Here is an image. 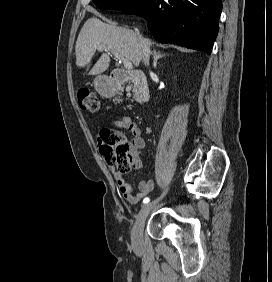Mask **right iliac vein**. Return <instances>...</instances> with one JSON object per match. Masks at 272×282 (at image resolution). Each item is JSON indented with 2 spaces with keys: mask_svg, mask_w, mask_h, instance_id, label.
<instances>
[{
  "mask_svg": "<svg viewBox=\"0 0 272 282\" xmlns=\"http://www.w3.org/2000/svg\"><path fill=\"white\" fill-rule=\"evenodd\" d=\"M159 199L152 201L148 204H146L138 213V216L136 218V222L134 224V227L132 229L131 234V240L134 247H137L140 245L142 240V234H143V228L145 221L152 210V208L155 206V204L158 202Z\"/></svg>",
  "mask_w": 272,
  "mask_h": 282,
  "instance_id": "obj_1",
  "label": "right iliac vein"
}]
</instances>
